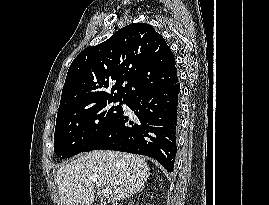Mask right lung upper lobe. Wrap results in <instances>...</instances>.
Returning <instances> with one entry per match:
<instances>
[{
  "label": "right lung upper lobe",
  "mask_w": 269,
  "mask_h": 205,
  "mask_svg": "<svg viewBox=\"0 0 269 205\" xmlns=\"http://www.w3.org/2000/svg\"><path fill=\"white\" fill-rule=\"evenodd\" d=\"M178 83L174 55L146 23H132L84 49L69 67L57 119L108 100L128 102Z\"/></svg>",
  "instance_id": "cb5924a9"
}]
</instances>
